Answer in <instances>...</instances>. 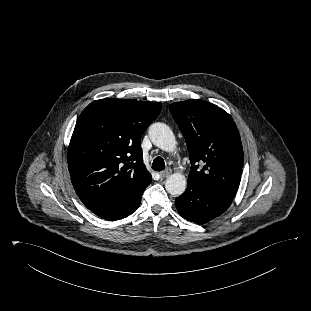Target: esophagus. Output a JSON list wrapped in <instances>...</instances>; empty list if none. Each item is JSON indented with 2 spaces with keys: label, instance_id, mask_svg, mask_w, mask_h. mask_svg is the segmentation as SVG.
<instances>
[{
  "label": "esophagus",
  "instance_id": "obj_1",
  "mask_svg": "<svg viewBox=\"0 0 311 311\" xmlns=\"http://www.w3.org/2000/svg\"><path fill=\"white\" fill-rule=\"evenodd\" d=\"M172 173L171 169H166L162 172H160V175L162 178H167Z\"/></svg>",
  "mask_w": 311,
  "mask_h": 311
}]
</instances>
